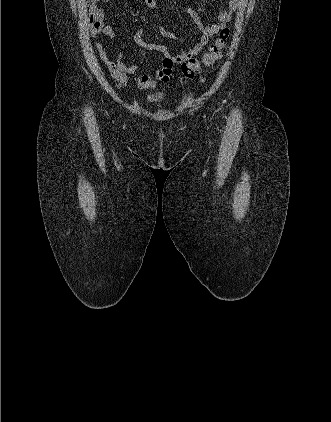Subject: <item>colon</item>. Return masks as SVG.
Segmentation results:
<instances>
[{
  "label": "colon",
  "mask_w": 331,
  "mask_h": 422,
  "mask_svg": "<svg viewBox=\"0 0 331 422\" xmlns=\"http://www.w3.org/2000/svg\"><path fill=\"white\" fill-rule=\"evenodd\" d=\"M107 0H87V4L91 10L98 6L99 2H106ZM231 33L228 28H223L218 39L208 48V51L202 56L200 60L194 59L184 62L181 67L182 81L188 82L195 78L200 73L202 66L211 67L216 61L220 60L224 50L227 48V43L230 39ZM148 89L155 88V81L151 80L147 86Z\"/></svg>",
  "instance_id": "5ec220e1"
}]
</instances>
